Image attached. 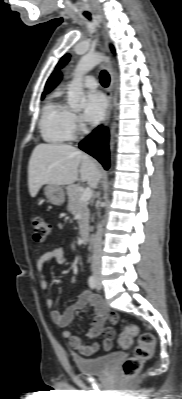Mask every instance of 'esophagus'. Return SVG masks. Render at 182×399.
<instances>
[{"mask_svg":"<svg viewBox=\"0 0 182 399\" xmlns=\"http://www.w3.org/2000/svg\"><path fill=\"white\" fill-rule=\"evenodd\" d=\"M104 33V37H105V43H106V51H108V36L106 33V30H103ZM109 71V75H110V83H109V87L107 89L106 95H107V109L105 112V115L103 117L102 120V126H107L109 124L110 121V116H111V109H112V89H113V83H114V78H113V72L111 67L108 68Z\"/></svg>","mask_w":182,"mask_h":399,"instance_id":"esophagus-1","label":"esophagus"}]
</instances>
